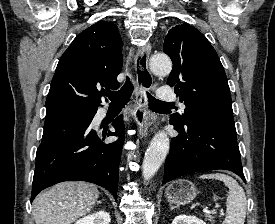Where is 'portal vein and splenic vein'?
I'll return each instance as SVG.
<instances>
[{"label": "portal vein and splenic vein", "mask_w": 275, "mask_h": 224, "mask_svg": "<svg viewBox=\"0 0 275 224\" xmlns=\"http://www.w3.org/2000/svg\"><path fill=\"white\" fill-rule=\"evenodd\" d=\"M203 212L204 213H213V214H216L217 212H215V211H210V210H208L206 207L205 208H203Z\"/></svg>", "instance_id": "portal-vein-and-splenic-vein-1"}]
</instances>
